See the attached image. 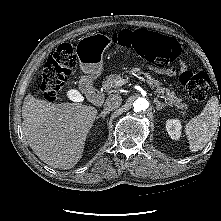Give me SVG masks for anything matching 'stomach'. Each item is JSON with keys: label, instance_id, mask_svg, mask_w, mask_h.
Wrapping results in <instances>:
<instances>
[{"label": "stomach", "instance_id": "stomach-1", "mask_svg": "<svg viewBox=\"0 0 221 221\" xmlns=\"http://www.w3.org/2000/svg\"><path fill=\"white\" fill-rule=\"evenodd\" d=\"M112 43V38L100 33L81 38L78 43V56L82 71L90 74L91 78L98 77L102 70L103 52Z\"/></svg>", "mask_w": 221, "mask_h": 221}]
</instances>
